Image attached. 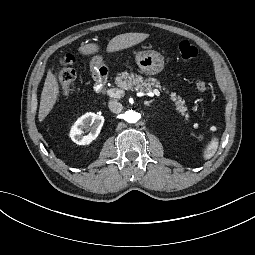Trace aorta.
<instances>
[{"mask_svg":"<svg viewBox=\"0 0 255 255\" xmlns=\"http://www.w3.org/2000/svg\"><path fill=\"white\" fill-rule=\"evenodd\" d=\"M124 119L128 123H135L139 120V114L135 112L134 110H128L124 114Z\"/></svg>","mask_w":255,"mask_h":255,"instance_id":"aorta-1","label":"aorta"}]
</instances>
